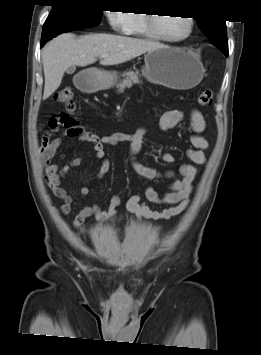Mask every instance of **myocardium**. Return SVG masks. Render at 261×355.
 <instances>
[{
    "mask_svg": "<svg viewBox=\"0 0 261 355\" xmlns=\"http://www.w3.org/2000/svg\"><path fill=\"white\" fill-rule=\"evenodd\" d=\"M145 15H146L147 29L156 39H159V40H162L165 42L178 43V42H182V41L188 39L193 34L195 23H194V19L191 16L185 17L187 19V22L189 25L188 32L185 35H183L182 37L170 38V37L164 36L159 31L158 25H157V17L155 16L156 14L147 13Z\"/></svg>",
    "mask_w": 261,
    "mask_h": 355,
    "instance_id": "myocardium-1",
    "label": "myocardium"
}]
</instances>
